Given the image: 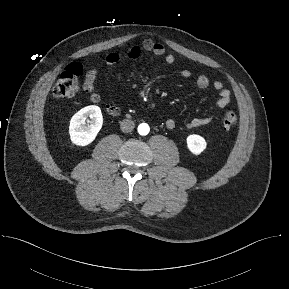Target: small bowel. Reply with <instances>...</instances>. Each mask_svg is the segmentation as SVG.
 I'll use <instances>...</instances> for the list:
<instances>
[{
  "mask_svg": "<svg viewBox=\"0 0 289 289\" xmlns=\"http://www.w3.org/2000/svg\"><path fill=\"white\" fill-rule=\"evenodd\" d=\"M142 52H148L153 54L157 57H162L164 62L168 65H172L175 62V56L167 53L166 49L163 44L160 42L154 41L152 39H146L143 41L141 46H131L127 49L124 56L130 60H136L140 57ZM123 57L122 54L117 52L109 53L106 57V64L108 66H113L117 64L121 58ZM98 72L96 69H90L86 72L84 83H83V90L89 94L90 100L93 103H101L102 98L95 90V82L97 79ZM181 75L184 78H189L191 76V71L188 69H183L181 71ZM196 85L200 89H206L208 87H212L216 90L219 94V97L216 101V108H224L228 106L231 102V93L230 91L224 87L223 83L220 81L211 82L209 77L205 74H199L196 77ZM106 111L113 116L119 115L121 112V107L119 105H115L112 103H105L104 104ZM216 116V112L212 110L208 114L195 117L189 120L185 127L187 129L198 128L201 126L208 125L211 123ZM166 126L168 129H174L176 127V121L174 119H168L166 121Z\"/></svg>",
  "mask_w": 289,
  "mask_h": 289,
  "instance_id": "small-bowel-1",
  "label": "small bowel"
}]
</instances>
